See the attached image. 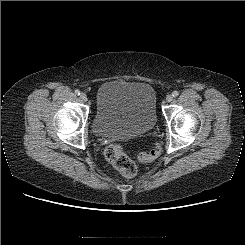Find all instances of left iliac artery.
<instances>
[{"label": "left iliac artery", "mask_w": 245, "mask_h": 245, "mask_svg": "<svg viewBox=\"0 0 245 245\" xmlns=\"http://www.w3.org/2000/svg\"><path fill=\"white\" fill-rule=\"evenodd\" d=\"M178 95H179V92H178V91H173V92H172V96H173V97H177Z\"/></svg>", "instance_id": "44dca946"}]
</instances>
